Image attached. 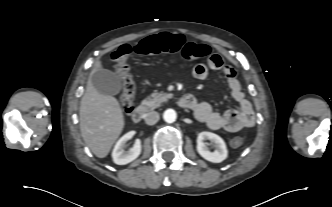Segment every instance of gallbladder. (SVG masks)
I'll use <instances>...</instances> for the list:
<instances>
[{
  "label": "gallbladder",
  "mask_w": 332,
  "mask_h": 207,
  "mask_svg": "<svg viewBox=\"0 0 332 207\" xmlns=\"http://www.w3.org/2000/svg\"><path fill=\"white\" fill-rule=\"evenodd\" d=\"M92 84L101 94L116 95L121 91L119 77L110 70L99 69L91 76Z\"/></svg>",
  "instance_id": "obj_1"
}]
</instances>
